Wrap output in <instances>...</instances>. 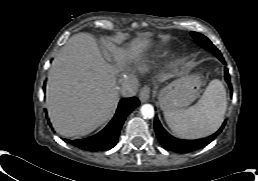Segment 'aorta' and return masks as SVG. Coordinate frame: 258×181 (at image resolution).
<instances>
[{
  "instance_id": "1",
  "label": "aorta",
  "mask_w": 258,
  "mask_h": 181,
  "mask_svg": "<svg viewBox=\"0 0 258 181\" xmlns=\"http://www.w3.org/2000/svg\"><path fill=\"white\" fill-rule=\"evenodd\" d=\"M141 115L144 118L151 119L154 117V107L151 104H144L140 108Z\"/></svg>"
}]
</instances>
